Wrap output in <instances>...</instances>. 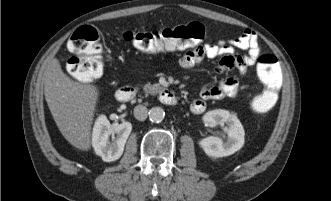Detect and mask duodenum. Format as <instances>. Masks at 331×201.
Instances as JSON below:
<instances>
[{
    "label": "duodenum",
    "instance_id": "obj_1",
    "mask_svg": "<svg viewBox=\"0 0 331 201\" xmlns=\"http://www.w3.org/2000/svg\"><path fill=\"white\" fill-rule=\"evenodd\" d=\"M136 95V89L131 85H122L117 88L115 97L118 101L124 102L132 99ZM159 99L163 104L175 105L177 98L175 94L167 88H162L159 91Z\"/></svg>",
    "mask_w": 331,
    "mask_h": 201
}]
</instances>
